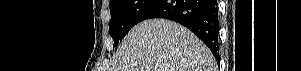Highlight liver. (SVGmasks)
Here are the masks:
<instances>
[{
  "label": "liver",
  "instance_id": "obj_1",
  "mask_svg": "<svg viewBox=\"0 0 301 71\" xmlns=\"http://www.w3.org/2000/svg\"><path fill=\"white\" fill-rule=\"evenodd\" d=\"M109 71H216L207 46L187 28L164 19L135 25Z\"/></svg>",
  "mask_w": 301,
  "mask_h": 71
}]
</instances>
